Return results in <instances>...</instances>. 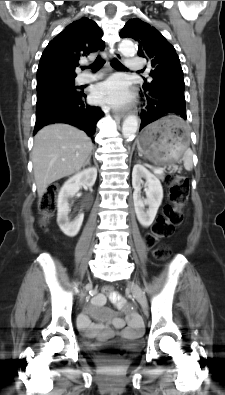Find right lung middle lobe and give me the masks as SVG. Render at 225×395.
Here are the masks:
<instances>
[{"mask_svg": "<svg viewBox=\"0 0 225 395\" xmlns=\"http://www.w3.org/2000/svg\"><path fill=\"white\" fill-rule=\"evenodd\" d=\"M62 91H76L74 80H67L37 87V103L45 100L54 93Z\"/></svg>", "mask_w": 225, "mask_h": 395, "instance_id": "right-lung-middle-lobe-1", "label": "right lung middle lobe"}]
</instances>
